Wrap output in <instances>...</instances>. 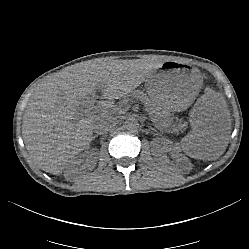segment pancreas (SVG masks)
Listing matches in <instances>:
<instances>
[{
	"label": "pancreas",
	"instance_id": "pancreas-1",
	"mask_svg": "<svg viewBox=\"0 0 249 249\" xmlns=\"http://www.w3.org/2000/svg\"><path fill=\"white\" fill-rule=\"evenodd\" d=\"M136 96L145 105L148 114L153 115V117L157 119V114L162 109V107H160L158 103L153 101L143 91H137ZM162 112L165 113L166 111L162 110Z\"/></svg>",
	"mask_w": 249,
	"mask_h": 249
}]
</instances>
